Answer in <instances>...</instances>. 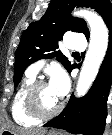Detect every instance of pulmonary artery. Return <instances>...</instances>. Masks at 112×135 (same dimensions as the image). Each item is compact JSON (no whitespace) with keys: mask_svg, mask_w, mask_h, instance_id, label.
<instances>
[{"mask_svg":"<svg viewBox=\"0 0 112 135\" xmlns=\"http://www.w3.org/2000/svg\"><path fill=\"white\" fill-rule=\"evenodd\" d=\"M66 46L72 51L82 52L86 46L85 38L80 34H72L67 37ZM44 62L39 61L32 64L26 71L28 75H37L40 69L43 67Z\"/></svg>","mask_w":112,"mask_h":135,"instance_id":"1","label":"pulmonary artery"}]
</instances>
